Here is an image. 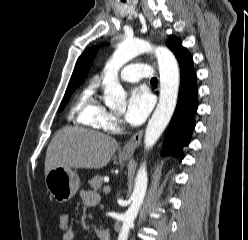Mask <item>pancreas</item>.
Segmentation results:
<instances>
[{"instance_id":"cf45deb5","label":"pancreas","mask_w":248,"mask_h":240,"mask_svg":"<svg viewBox=\"0 0 248 240\" xmlns=\"http://www.w3.org/2000/svg\"><path fill=\"white\" fill-rule=\"evenodd\" d=\"M103 183V177L101 175H96L89 181L90 186L94 190H100Z\"/></svg>"}]
</instances>
